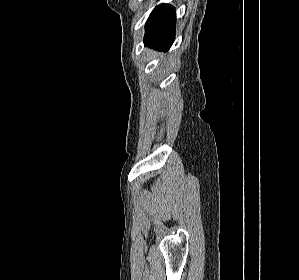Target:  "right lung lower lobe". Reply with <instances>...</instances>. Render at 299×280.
I'll use <instances>...</instances> for the list:
<instances>
[{
	"instance_id": "98d812e1",
	"label": "right lung lower lobe",
	"mask_w": 299,
	"mask_h": 280,
	"mask_svg": "<svg viewBox=\"0 0 299 280\" xmlns=\"http://www.w3.org/2000/svg\"><path fill=\"white\" fill-rule=\"evenodd\" d=\"M176 13L171 5L157 6L146 23L144 44L157 50L167 51L175 38Z\"/></svg>"
}]
</instances>
